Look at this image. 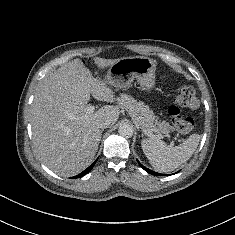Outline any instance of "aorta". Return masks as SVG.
I'll use <instances>...</instances> for the list:
<instances>
[{
	"mask_svg": "<svg viewBox=\"0 0 235 235\" xmlns=\"http://www.w3.org/2000/svg\"><path fill=\"white\" fill-rule=\"evenodd\" d=\"M118 132L122 137L129 138L133 135V126L129 123H123L119 126Z\"/></svg>",
	"mask_w": 235,
	"mask_h": 235,
	"instance_id": "762f6f07",
	"label": "aorta"
}]
</instances>
